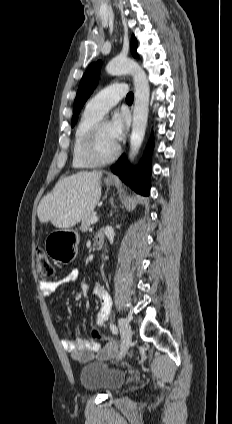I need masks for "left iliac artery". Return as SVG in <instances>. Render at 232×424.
<instances>
[{"label": "left iliac artery", "mask_w": 232, "mask_h": 424, "mask_svg": "<svg viewBox=\"0 0 232 424\" xmlns=\"http://www.w3.org/2000/svg\"><path fill=\"white\" fill-rule=\"evenodd\" d=\"M104 315H105V319H107L110 315L111 312V304L106 305L103 309H102ZM110 329L112 331L113 334H117V327L115 324L111 323L110 324Z\"/></svg>", "instance_id": "1"}]
</instances>
